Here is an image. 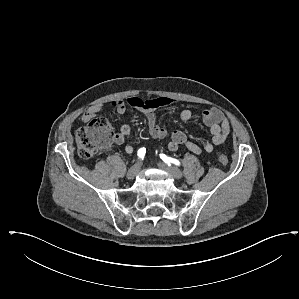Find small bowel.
<instances>
[{
	"label": "small bowel",
	"mask_w": 299,
	"mask_h": 299,
	"mask_svg": "<svg viewBox=\"0 0 299 299\" xmlns=\"http://www.w3.org/2000/svg\"><path fill=\"white\" fill-rule=\"evenodd\" d=\"M176 103L177 101L168 97H158L151 100H143L139 97L132 96L127 99V104L130 107L137 109L144 114L150 135L156 139H163L168 135L167 131L158 123V119L155 114L156 109ZM111 106L119 114H123L126 111V104L122 100L112 101ZM102 110V104H95L83 114L82 120L87 122L94 118ZM193 116L194 112L190 108H185L180 112V118L183 121H189L193 118ZM202 120L210 129L212 134L211 141L204 145V150L208 153H211L215 145H221L229 136L231 131L230 122L223 112L217 108L205 110L202 114ZM130 133L131 127L128 124L121 125L115 142L117 144L124 143L125 138ZM181 146H185L195 154L201 153V148L197 144L189 141L187 135L183 131L175 130L171 132L168 149L171 151H176ZM124 150L128 154H132L134 152V146L132 144H126Z\"/></svg>",
	"instance_id": "1"
}]
</instances>
